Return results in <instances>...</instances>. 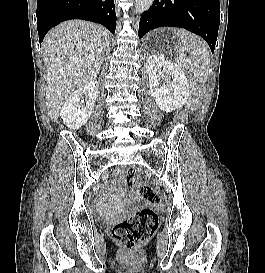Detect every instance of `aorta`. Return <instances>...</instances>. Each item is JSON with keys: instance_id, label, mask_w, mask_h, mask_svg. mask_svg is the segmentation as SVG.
<instances>
[{"instance_id": "762f6f07", "label": "aorta", "mask_w": 265, "mask_h": 273, "mask_svg": "<svg viewBox=\"0 0 265 273\" xmlns=\"http://www.w3.org/2000/svg\"><path fill=\"white\" fill-rule=\"evenodd\" d=\"M153 1L154 0H136L135 12L143 13L144 11H147L153 4Z\"/></svg>"}]
</instances>
